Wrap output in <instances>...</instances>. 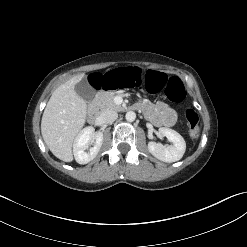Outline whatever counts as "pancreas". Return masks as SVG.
Masks as SVG:
<instances>
[{
  "instance_id": "cf45deb5",
  "label": "pancreas",
  "mask_w": 247,
  "mask_h": 247,
  "mask_svg": "<svg viewBox=\"0 0 247 247\" xmlns=\"http://www.w3.org/2000/svg\"><path fill=\"white\" fill-rule=\"evenodd\" d=\"M115 95L112 93H100L97 96V104L101 110L114 109L121 111L123 108L120 105L115 104L114 102Z\"/></svg>"
}]
</instances>
